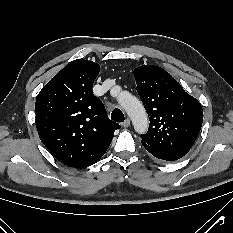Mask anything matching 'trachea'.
Here are the masks:
<instances>
[{
  "label": "trachea",
  "mask_w": 233,
  "mask_h": 233,
  "mask_svg": "<svg viewBox=\"0 0 233 233\" xmlns=\"http://www.w3.org/2000/svg\"><path fill=\"white\" fill-rule=\"evenodd\" d=\"M111 119L116 122H123L125 120V117L120 109H115L111 113Z\"/></svg>",
  "instance_id": "trachea-1"
}]
</instances>
